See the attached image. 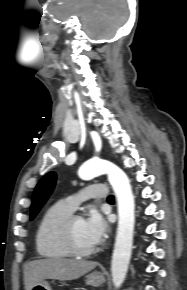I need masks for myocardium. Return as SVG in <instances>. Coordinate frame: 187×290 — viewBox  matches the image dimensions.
I'll return each mask as SVG.
<instances>
[{
    "label": "myocardium",
    "mask_w": 187,
    "mask_h": 290,
    "mask_svg": "<svg viewBox=\"0 0 187 290\" xmlns=\"http://www.w3.org/2000/svg\"><path fill=\"white\" fill-rule=\"evenodd\" d=\"M83 218L80 213L72 212L68 215L59 226V234L65 249L75 257H87L94 254L98 248L97 246L91 248H81L75 239L74 223L77 219Z\"/></svg>",
    "instance_id": "obj_1"
}]
</instances>
